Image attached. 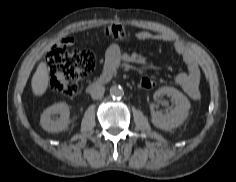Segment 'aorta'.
Masks as SVG:
<instances>
[{"label":"aorta","instance_id":"aorta-1","mask_svg":"<svg viewBox=\"0 0 236 182\" xmlns=\"http://www.w3.org/2000/svg\"><path fill=\"white\" fill-rule=\"evenodd\" d=\"M110 95L113 98H121L124 96V90L121 86L114 85L110 88Z\"/></svg>","mask_w":236,"mask_h":182}]
</instances>
